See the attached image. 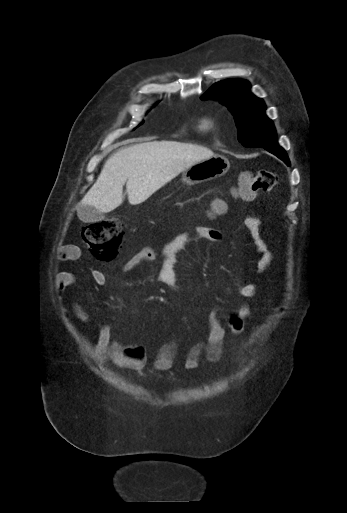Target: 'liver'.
<instances>
[{
	"instance_id": "1",
	"label": "liver",
	"mask_w": 347,
	"mask_h": 513,
	"mask_svg": "<svg viewBox=\"0 0 347 513\" xmlns=\"http://www.w3.org/2000/svg\"><path fill=\"white\" fill-rule=\"evenodd\" d=\"M203 146L176 141L136 144L114 153L77 207L92 206L102 213L116 209L123 202L126 183L130 204H140L155 191L193 164L213 156Z\"/></svg>"
}]
</instances>
